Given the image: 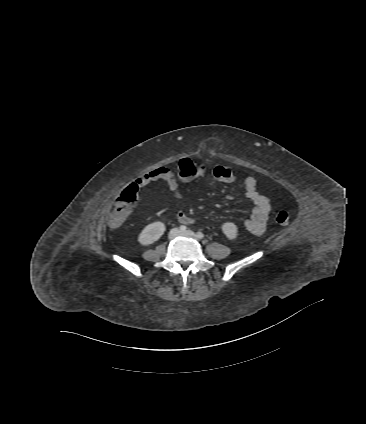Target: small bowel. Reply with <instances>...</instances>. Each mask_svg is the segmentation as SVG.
Returning <instances> with one entry per match:
<instances>
[{
  "instance_id": "1",
  "label": "small bowel",
  "mask_w": 366,
  "mask_h": 424,
  "mask_svg": "<svg viewBox=\"0 0 366 424\" xmlns=\"http://www.w3.org/2000/svg\"><path fill=\"white\" fill-rule=\"evenodd\" d=\"M163 180L168 189L173 192L175 199L182 198L178 191V184L173 172L166 167H160L147 172L136 179L137 186H145L152 181ZM245 195L253 203V208L249 219L244 223L246 231L253 235H261L265 232L270 213L269 199L258 192L257 181L254 177L248 176L244 180ZM192 221L184 222L191 223Z\"/></svg>"
}]
</instances>
